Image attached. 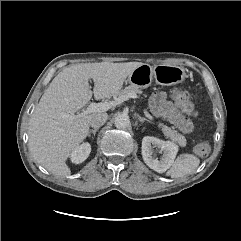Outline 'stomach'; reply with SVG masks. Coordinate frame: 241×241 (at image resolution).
Listing matches in <instances>:
<instances>
[{
  "label": "stomach",
  "instance_id": "0dacf381",
  "mask_svg": "<svg viewBox=\"0 0 241 241\" xmlns=\"http://www.w3.org/2000/svg\"><path fill=\"white\" fill-rule=\"evenodd\" d=\"M187 77L185 69L177 65L159 64L151 66L142 64L133 70L127 81L139 88H147L153 80L157 84L169 86L183 83Z\"/></svg>",
  "mask_w": 241,
  "mask_h": 241
}]
</instances>
